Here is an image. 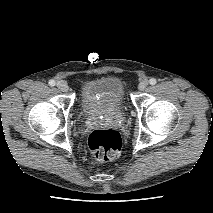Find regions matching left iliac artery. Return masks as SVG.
<instances>
[{
	"instance_id": "1",
	"label": "left iliac artery",
	"mask_w": 213,
	"mask_h": 213,
	"mask_svg": "<svg viewBox=\"0 0 213 213\" xmlns=\"http://www.w3.org/2000/svg\"><path fill=\"white\" fill-rule=\"evenodd\" d=\"M149 83H150L151 85H155V84L157 83V81H156L155 78H151V79L149 80Z\"/></svg>"
}]
</instances>
